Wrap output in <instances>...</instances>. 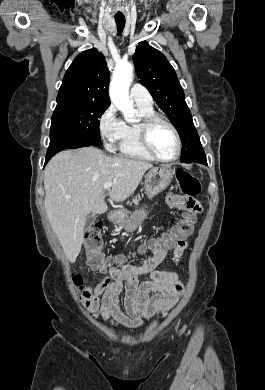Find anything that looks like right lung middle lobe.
<instances>
[{"label": "right lung middle lobe", "instance_id": "1", "mask_svg": "<svg viewBox=\"0 0 265 390\" xmlns=\"http://www.w3.org/2000/svg\"><path fill=\"white\" fill-rule=\"evenodd\" d=\"M108 107L91 101L57 102L52 115L50 140L69 138L100 146L99 118Z\"/></svg>", "mask_w": 265, "mask_h": 390}]
</instances>
